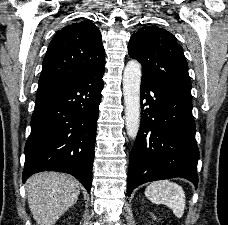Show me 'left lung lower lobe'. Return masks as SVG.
Wrapping results in <instances>:
<instances>
[{"instance_id": "left-lung-lower-lobe-1", "label": "left lung lower lobe", "mask_w": 228, "mask_h": 225, "mask_svg": "<svg viewBox=\"0 0 228 225\" xmlns=\"http://www.w3.org/2000/svg\"><path fill=\"white\" fill-rule=\"evenodd\" d=\"M140 93L141 124L129 158L128 196L143 183L174 177L197 187L199 151L191 94L143 78Z\"/></svg>"}]
</instances>
